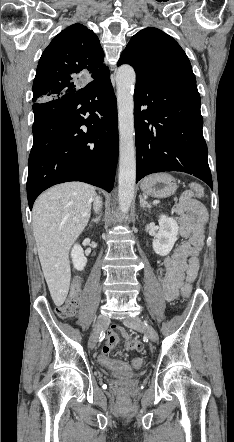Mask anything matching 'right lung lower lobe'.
Wrapping results in <instances>:
<instances>
[{"label":"right lung lower lobe","instance_id":"98d812e1","mask_svg":"<svg viewBox=\"0 0 234 442\" xmlns=\"http://www.w3.org/2000/svg\"><path fill=\"white\" fill-rule=\"evenodd\" d=\"M33 112L30 209L42 191L58 183L81 181L110 192L118 159L117 103L110 74L75 95L35 102Z\"/></svg>","mask_w":234,"mask_h":442}]
</instances>
